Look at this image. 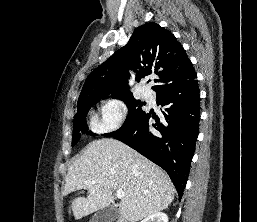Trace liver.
<instances>
[{
    "instance_id": "6515ba94",
    "label": "liver",
    "mask_w": 257,
    "mask_h": 222,
    "mask_svg": "<svg viewBox=\"0 0 257 222\" xmlns=\"http://www.w3.org/2000/svg\"><path fill=\"white\" fill-rule=\"evenodd\" d=\"M80 189L88 190V195L72 201L76 220L107 208L114 190L120 189L124 197L118 212L127 222H138L166 209L175 192L170 178L160 167L114 139L91 142L71 164L63 195Z\"/></svg>"
}]
</instances>
